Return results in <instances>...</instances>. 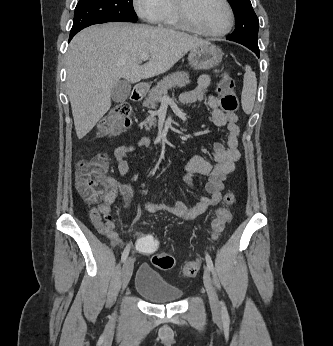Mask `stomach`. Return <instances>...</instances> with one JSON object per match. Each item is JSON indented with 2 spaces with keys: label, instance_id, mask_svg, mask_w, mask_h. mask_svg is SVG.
Returning a JSON list of instances; mask_svg holds the SVG:
<instances>
[{
  "label": "stomach",
  "instance_id": "1",
  "mask_svg": "<svg viewBox=\"0 0 333 346\" xmlns=\"http://www.w3.org/2000/svg\"><path fill=\"white\" fill-rule=\"evenodd\" d=\"M222 51L211 43L203 44L190 50L189 64L198 70H209L219 65L222 60ZM147 88L148 86L145 85Z\"/></svg>",
  "mask_w": 333,
  "mask_h": 346
}]
</instances>
